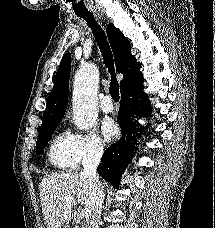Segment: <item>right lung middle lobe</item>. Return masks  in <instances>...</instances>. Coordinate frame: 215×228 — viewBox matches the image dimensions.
Masks as SVG:
<instances>
[{
  "instance_id": "right-lung-middle-lobe-1",
  "label": "right lung middle lobe",
  "mask_w": 215,
  "mask_h": 228,
  "mask_svg": "<svg viewBox=\"0 0 215 228\" xmlns=\"http://www.w3.org/2000/svg\"><path fill=\"white\" fill-rule=\"evenodd\" d=\"M60 122L50 123L41 125L39 137L37 138L36 142V154L39 155L43 153L47 142L51 139L56 127L59 125Z\"/></svg>"
}]
</instances>
